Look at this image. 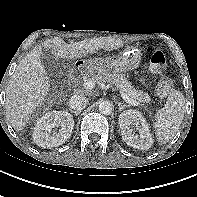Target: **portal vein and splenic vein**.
Segmentation results:
<instances>
[{"label":"portal vein and splenic vein","mask_w":197,"mask_h":197,"mask_svg":"<svg viewBox=\"0 0 197 197\" xmlns=\"http://www.w3.org/2000/svg\"><path fill=\"white\" fill-rule=\"evenodd\" d=\"M83 86H84L85 89L91 90L96 86V83H95V81L89 80L87 82H84ZM120 93H121V97L123 98V100L126 103H128L129 105H132V106H138L139 105L138 101L129 98L123 92H120Z\"/></svg>","instance_id":"portal-vein-and-splenic-vein-1"}]
</instances>
